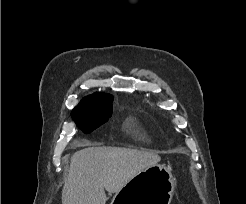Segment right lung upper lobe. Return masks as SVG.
Instances as JSON below:
<instances>
[{
	"label": "right lung upper lobe",
	"mask_w": 246,
	"mask_h": 204,
	"mask_svg": "<svg viewBox=\"0 0 246 204\" xmlns=\"http://www.w3.org/2000/svg\"><path fill=\"white\" fill-rule=\"evenodd\" d=\"M111 97H112L111 95H107V94H104V93H96V94H93V95H90V96L85 97V98L79 103V105L77 106V108H79V107H84V106H86L87 104H89L91 101H94V100H98V99H106V98H111Z\"/></svg>",
	"instance_id": "right-lung-upper-lobe-1"
}]
</instances>
